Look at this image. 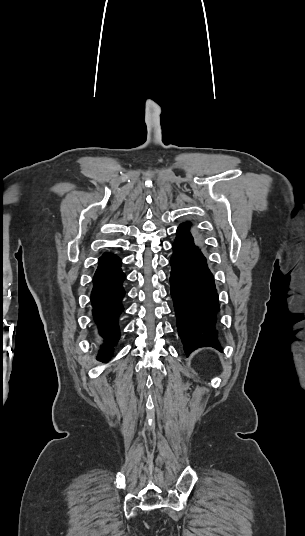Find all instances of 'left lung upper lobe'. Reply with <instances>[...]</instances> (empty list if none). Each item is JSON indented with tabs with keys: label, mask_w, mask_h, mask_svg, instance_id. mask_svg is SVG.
I'll list each match as a JSON object with an SVG mask.
<instances>
[{
	"label": "left lung upper lobe",
	"mask_w": 305,
	"mask_h": 536,
	"mask_svg": "<svg viewBox=\"0 0 305 536\" xmlns=\"http://www.w3.org/2000/svg\"><path fill=\"white\" fill-rule=\"evenodd\" d=\"M190 225H191V224H190L189 222H187V223H182V224L180 225V227L189 228Z\"/></svg>",
	"instance_id": "left-lung-upper-lobe-1"
}]
</instances>
